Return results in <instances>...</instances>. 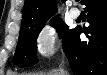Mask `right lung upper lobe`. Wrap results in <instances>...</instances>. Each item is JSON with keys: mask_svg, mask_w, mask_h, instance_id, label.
Segmentation results:
<instances>
[{"mask_svg": "<svg viewBox=\"0 0 107 75\" xmlns=\"http://www.w3.org/2000/svg\"><path fill=\"white\" fill-rule=\"evenodd\" d=\"M64 1V0H62ZM84 0H81L83 2ZM54 0H25L22 23L41 24L46 21L55 13ZM58 17H53L52 20Z\"/></svg>", "mask_w": 107, "mask_h": 75, "instance_id": "obj_1", "label": "right lung upper lobe"}]
</instances>
